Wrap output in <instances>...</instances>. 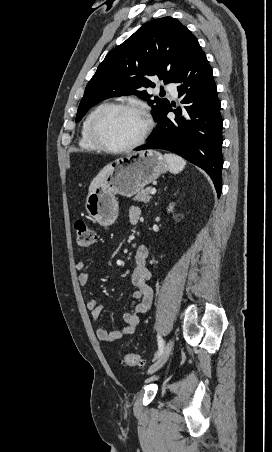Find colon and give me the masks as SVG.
Here are the masks:
<instances>
[{"instance_id": "colon-1", "label": "colon", "mask_w": 272, "mask_h": 452, "mask_svg": "<svg viewBox=\"0 0 272 452\" xmlns=\"http://www.w3.org/2000/svg\"><path fill=\"white\" fill-rule=\"evenodd\" d=\"M74 230L79 250H87L94 245L95 232L85 221L77 220L74 224ZM123 363L128 366H142L144 364L142 357L135 353H126L123 357Z\"/></svg>"}]
</instances>
